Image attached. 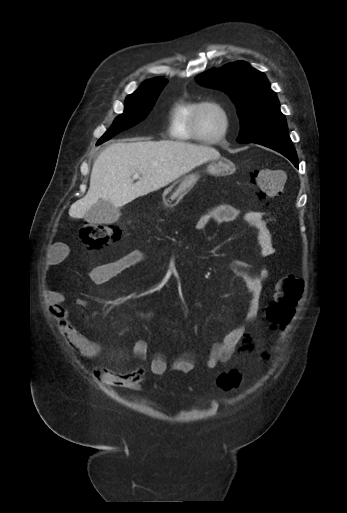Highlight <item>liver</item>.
Returning a JSON list of instances; mask_svg holds the SVG:
<instances>
[{
  "label": "liver",
  "instance_id": "liver-1",
  "mask_svg": "<svg viewBox=\"0 0 347 513\" xmlns=\"http://www.w3.org/2000/svg\"><path fill=\"white\" fill-rule=\"evenodd\" d=\"M219 157L212 147L171 140L111 144L94 162L88 192L70 206L69 215L83 218L99 199L124 206ZM136 173L142 177L133 183Z\"/></svg>",
  "mask_w": 347,
  "mask_h": 513
}]
</instances>
